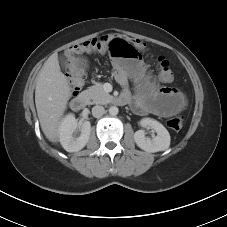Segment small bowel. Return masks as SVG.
<instances>
[{
    "label": "small bowel",
    "mask_w": 227,
    "mask_h": 227,
    "mask_svg": "<svg viewBox=\"0 0 227 227\" xmlns=\"http://www.w3.org/2000/svg\"><path fill=\"white\" fill-rule=\"evenodd\" d=\"M85 69V60L80 56H73L67 62L66 73L72 79H79L84 75ZM114 77L123 88L121 97L126 103L131 102L138 114L153 113L168 117L182 110L186 104L180 91L169 87H157L138 59L116 62ZM130 82L134 85V94L129 89Z\"/></svg>",
    "instance_id": "small-bowel-1"
}]
</instances>
